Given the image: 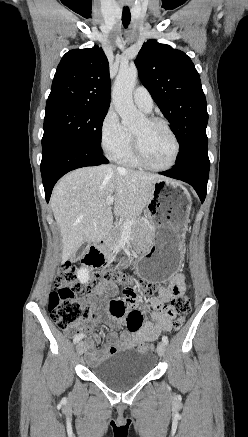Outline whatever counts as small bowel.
I'll use <instances>...</instances> for the list:
<instances>
[{
  "instance_id": "obj_1",
  "label": "small bowel",
  "mask_w": 248,
  "mask_h": 437,
  "mask_svg": "<svg viewBox=\"0 0 248 437\" xmlns=\"http://www.w3.org/2000/svg\"><path fill=\"white\" fill-rule=\"evenodd\" d=\"M115 285L110 281H101L93 288V294L88 301L93 307L104 310L109 307L110 317L103 314L98 320H106L110 326L107 333V344L103 349H96L94 342L100 341L99 335H94L93 340L86 344V359L89 364L96 365L104 359L116 354L122 349L133 348L143 343L156 340L160 334L170 332L172 329V315L169 313L167 303L175 296L185 291V280L182 274H177L169 283L168 287H162L157 297L150 300L152 313L148 319H144L141 311L137 308V295L129 289L124 290V297L119 298L115 293ZM114 294L110 304H107L105 296ZM115 322L127 325L128 330L118 333ZM94 323L87 325H75L66 333L70 336L83 334V330H91Z\"/></svg>"
}]
</instances>
